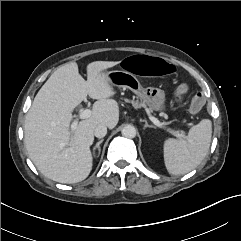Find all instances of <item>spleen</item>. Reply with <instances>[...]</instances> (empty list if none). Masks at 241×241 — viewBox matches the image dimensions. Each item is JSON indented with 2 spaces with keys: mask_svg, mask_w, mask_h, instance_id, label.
Segmentation results:
<instances>
[{
  "mask_svg": "<svg viewBox=\"0 0 241 241\" xmlns=\"http://www.w3.org/2000/svg\"><path fill=\"white\" fill-rule=\"evenodd\" d=\"M212 122L203 119L193 126L183 139L168 138L164 141V163L173 175H183L196 168L209 151Z\"/></svg>",
  "mask_w": 241,
  "mask_h": 241,
  "instance_id": "obj_1",
  "label": "spleen"
}]
</instances>
